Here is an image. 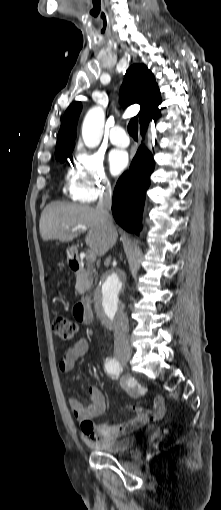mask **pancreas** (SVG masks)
Masks as SVG:
<instances>
[{"instance_id": "pancreas-1", "label": "pancreas", "mask_w": 221, "mask_h": 510, "mask_svg": "<svg viewBox=\"0 0 221 510\" xmlns=\"http://www.w3.org/2000/svg\"><path fill=\"white\" fill-rule=\"evenodd\" d=\"M93 268L88 267L87 271L85 273L79 274L76 277V292L83 294L91 285L92 278L89 277V275L92 273Z\"/></svg>"}]
</instances>
